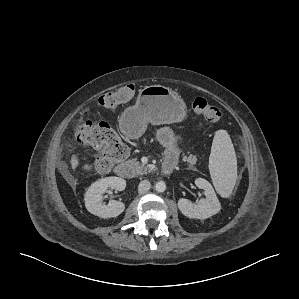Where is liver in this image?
<instances>
[{"label": "liver", "instance_id": "1", "mask_svg": "<svg viewBox=\"0 0 299 299\" xmlns=\"http://www.w3.org/2000/svg\"><path fill=\"white\" fill-rule=\"evenodd\" d=\"M72 168L75 169L78 166V160L76 159L75 156H73L71 160Z\"/></svg>", "mask_w": 299, "mask_h": 299}]
</instances>
